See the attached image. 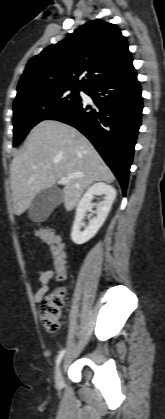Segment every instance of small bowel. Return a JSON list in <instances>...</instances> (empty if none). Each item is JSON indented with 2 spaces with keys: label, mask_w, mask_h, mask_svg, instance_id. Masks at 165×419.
<instances>
[{
  "label": "small bowel",
  "mask_w": 165,
  "mask_h": 419,
  "mask_svg": "<svg viewBox=\"0 0 165 419\" xmlns=\"http://www.w3.org/2000/svg\"><path fill=\"white\" fill-rule=\"evenodd\" d=\"M38 235L41 239L45 241L44 236L41 234V232H38ZM55 271L53 269H46L40 271L38 275V282L40 284V288L38 291L34 294V301L36 303H40L43 299V297L49 292L50 290V281L54 277Z\"/></svg>",
  "instance_id": "small-bowel-1"
}]
</instances>
